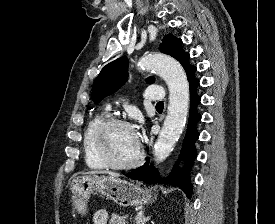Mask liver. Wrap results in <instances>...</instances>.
Masks as SVG:
<instances>
[{"label":"liver","instance_id":"6515ba94","mask_svg":"<svg viewBox=\"0 0 275 224\" xmlns=\"http://www.w3.org/2000/svg\"><path fill=\"white\" fill-rule=\"evenodd\" d=\"M87 174H108L111 177H119L118 173L110 172V171H91Z\"/></svg>","mask_w":275,"mask_h":224}]
</instances>
